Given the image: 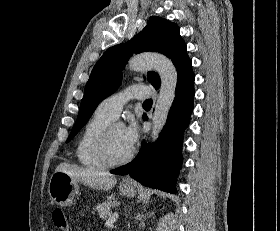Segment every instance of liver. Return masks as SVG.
Listing matches in <instances>:
<instances>
[{
    "label": "liver",
    "mask_w": 280,
    "mask_h": 231,
    "mask_svg": "<svg viewBox=\"0 0 280 231\" xmlns=\"http://www.w3.org/2000/svg\"><path fill=\"white\" fill-rule=\"evenodd\" d=\"M55 171H64L72 179L82 181V183L93 187V189H105V191H108L117 183L115 175L99 173V171H89V169H82V167H77V165H72V163H59Z\"/></svg>",
    "instance_id": "liver-1"
}]
</instances>
